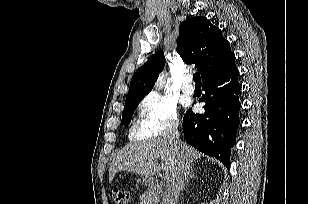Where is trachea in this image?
Returning <instances> with one entry per match:
<instances>
[{
  "instance_id": "3493384b",
  "label": "trachea",
  "mask_w": 309,
  "mask_h": 204,
  "mask_svg": "<svg viewBox=\"0 0 309 204\" xmlns=\"http://www.w3.org/2000/svg\"><path fill=\"white\" fill-rule=\"evenodd\" d=\"M193 78H194V82L196 83V85H200V80H201L200 74L195 73Z\"/></svg>"
}]
</instances>
